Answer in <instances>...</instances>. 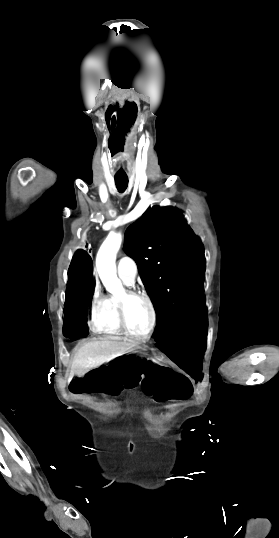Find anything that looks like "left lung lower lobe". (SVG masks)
Returning a JSON list of instances; mask_svg holds the SVG:
<instances>
[{"instance_id": "left-lung-lower-lobe-1", "label": "left lung lower lobe", "mask_w": 279, "mask_h": 538, "mask_svg": "<svg viewBox=\"0 0 279 538\" xmlns=\"http://www.w3.org/2000/svg\"><path fill=\"white\" fill-rule=\"evenodd\" d=\"M207 310L173 335L153 336L156 346L196 381L202 368V356L207 336Z\"/></svg>"}]
</instances>
